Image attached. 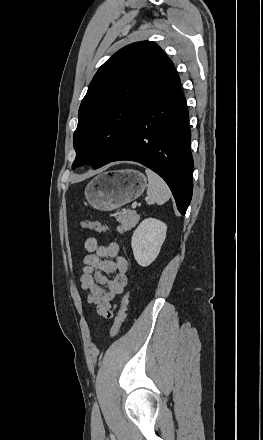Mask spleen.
Segmentation results:
<instances>
[{"label":"spleen","instance_id":"spleen-1","mask_svg":"<svg viewBox=\"0 0 263 440\" xmlns=\"http://www.w3.org/2000/svg\"><path fill=\"white\" fill-rule=\"evenodd\" d=\"M145 173L148 178L147 198L148 204H163L171 197V191L165 181L150 169H146Z\"/></svg>","mask_w":263,"mask_h":440}]
</instances>
